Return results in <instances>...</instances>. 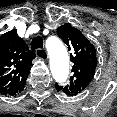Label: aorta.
<instances>
[{
	"label": "aorta",
	"instance_id": "762f6f07",
	"mask_svg": "<svg viewBox=\"0 0 117 117\" xmlns=\"http://www.w3.org/2000/svg\"><path fill=\"white\" fill-rule=\"evenodd\" d=\"M46 48L50 56V69L53 78L58 83H63L69 75V56L66 47L56 37L46 41Z\"/></svg>",
	"mask_w": 117,
	"mask_h": 117
}]
</instances>
